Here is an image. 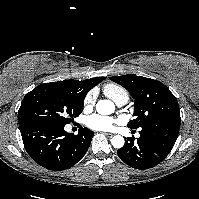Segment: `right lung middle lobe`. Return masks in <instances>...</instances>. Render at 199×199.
<instances>
[{
  "mask_svg": "<svg viewBox=\"0 0 199 199\" xmlns=\"http://www.w3.org/2000/svg\"><path fill=\"white\" fill-rule=\"evenodd\" d=\"M83 101L84 98H76L56 88L43 93L31 91L21 103L18 123L69 124L83 111Z\"/></svg>",
  "mask_w": 199,
  "mask_h": 199,
  "instance_id": "1",
  "label": "right lung middle lobe"
}]
</instances>
